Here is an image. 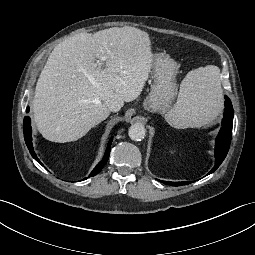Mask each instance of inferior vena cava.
Returning <instances> with one entry per match:
<instances>
[{
    "label": "inferior vena cava",
    "instance_id": "inferior-vena-cava-1",
    "mask_svg": "<svg viewBox=\"0 0 255 255\" xmlns=\"http://www.w3.org/2000/svg\"><path fill=\"white\" fill-rule=\"evenodd\" d=\"M107 108L112 112H118L121 109V104L116 99H110L106 101Z\"/></svg>",
    "mask_w": 255,
    "mask_h": 255
}]
</instances>
